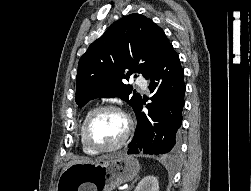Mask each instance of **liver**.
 Listing matches in <instances>:
<instances>
[{
  "label": "liver",
  "mask_w": 251,
  "mask_h": 191,
  "mask_svg": "<svg viewBox=\"0 0 251 191\" xmlns=\"http://www.w3.org/2000/svg\"><path fill=\"white\" fill-rule=\"evenodd\" d=\"M72 163H94V161H91L89 157H84V159H72L67 165H72Z\"/></svg>",
  "instance_id": "6515ba94"
}]
</instances>
